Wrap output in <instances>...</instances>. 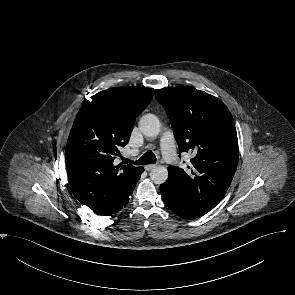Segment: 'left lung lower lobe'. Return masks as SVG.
I'll use <instances>...</instances> for the list:
<instances>
[{
	"instance_id": "1",
	"label": "left lung lower lobe",
	"mask_w": 295,
	"mask_h": 295,
	"mask_svg": "<svg viewBox=\"0 0 295 295\" xmlns=\"http://www.w3.org/2000/svg\"><path fill=\"white\" fill-rule=\"evenodd\" d=\"M162 199L176 215L183 219H194L201 215L198 210L191 207L171 184L165 182L160 185Z\"/></svg>"
}]
</instances>
